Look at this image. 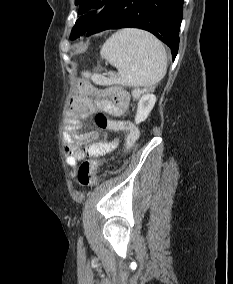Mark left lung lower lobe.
<instances>
[{
	"instance_id": "left-lung-lower-lobe-1",
	"label": "left lung lower lobe",
	"mask_w": 233,
	"mask_h": 284,
	"mask_svg": "<svg viewBox=\"0 0 233 284\" xmlns=\"http://www.w3.org/2000/svg\"><path fill=\"white\" fill-rule=\"evenodd\" d=\"M182 16L183 0H109L86 35L125 27L144 29L171 48L174 60Z\"/></svg>"
}]
</instances>
